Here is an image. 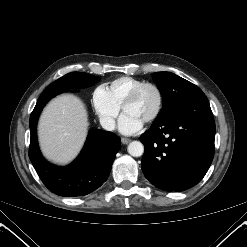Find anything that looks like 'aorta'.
<instances>
[{
	"label": "aorta",
	"instance_id": "762f6f07",
	"mask_svg": "<svg viewBox=\"0 0 247 247\" xmlns=\"http://www.w3.org/2000/svg\"><path fill=\"white\" fill-rule=\"evenodd\" d=\"M128 153L133 157H140L144 153V146L139 141H132L128 145Z\"/></svg>",
	"mask_w": 247,
	"mask_h": 247
}]
</instances>
